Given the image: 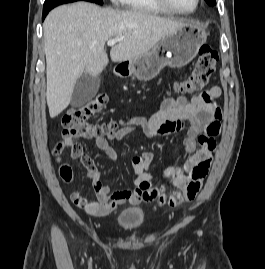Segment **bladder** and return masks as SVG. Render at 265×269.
I'll return each mask as SVG.
<instances>
[{"instance_id": "bladder-1", "label": "bladder", "mask_w": 265, "mask_h": 269, "mask_svg": "<svg viewBox=\"0 0 265 269\" xmlns=\"http://www.w3.org/2000/svg\"><path fill=\"white\" fill-rule=\"evenodd\" d=\"M147 212L142 207H130L122 210L116 217L118 228L131 231L140 228L146 220Z\"/></svg>"}]
</instances>
